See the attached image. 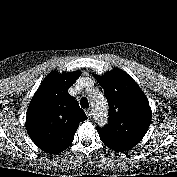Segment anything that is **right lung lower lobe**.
<instances>
[{
	"instance_id": "1",
	"label": "right lung lower lobe",
	"mask_w": 177,
	"mask_h": 177,
	"mask_svg": "<svg viewBox=\"0 0 177 177\" xmlns=\"http://www.w3.org/2000/svg\"><path fill=\"white\" fill-rule=\"evenodd\" d=\"M38 147L40 149L44 150L45 152H48V153H55V152H57L54 147H51L48 144H41V145H38Z\"/></svg>"
}]
</instances>
